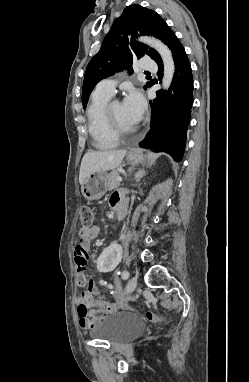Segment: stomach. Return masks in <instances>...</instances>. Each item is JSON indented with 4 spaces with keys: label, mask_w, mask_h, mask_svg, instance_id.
<instances>
[{
    "label": "stomach",
    "mask_w": 249,
    "mask_h": 382,
    "mask_svg": "<svg viewBox=\"0 0 249 382\" xmlns=\"http://www.w3.org/2000/svg\"><path fill=\"white\" fill-rule=\"evenodd\" d=\"M144 155L141 151H132L127 154V162L131 165H135L141 162ZM107 180V174L102 171L91 173L87 176L84 183L81 186V192L87 200H98L106 192L107 187L105 185Z\"/></svg>",
    "instance_id": "obj_1"
}]
</instances>
